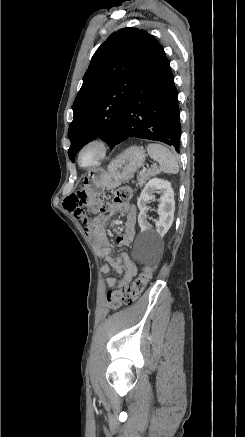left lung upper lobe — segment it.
<instances>
[{
  "mask_svg": "<svg viewBox=\"0 0 245 437\" xmlns=\"http://www.w3.org/2000/svg\"><path fill=\"white\" fill-rule=\"evenodd\" d=\"M159 45L145 30L129 27L111 34L97 49L73 103L68 130L72 162L98 136L113 147L126 103Z\"/></svg>",
  "mask_w": 245,
  "mask_h": 437,
  "instance_id": "1",
  "label": "left lung upper lobe"
}]
</instances>
